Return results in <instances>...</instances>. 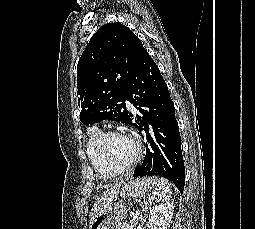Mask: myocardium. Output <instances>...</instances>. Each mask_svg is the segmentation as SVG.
Listing matches in <instances>:
<instances>
[{
  "mask_svg": "<svg viewBox=\"0 0 255 229\" xmlns=\"http://www.w3.org/2000/svg\"><path fill=\"white\" fill-rule=\"evenodd\" d=\"M115 136H127V137L131 138L134 141L135 145H136V154H135L134 158L126 164H122V165L114 164L106 157V155L104 153L103 146H104L105 142L109 138L115 137ZM142 150H143L142 143L138 138H136L134 136H131L127 133L121 132V131H107V132H104L99 136V138H98V140L95 144V151H96V154L98 155V157L110 169H112L114 171H117V172H120V174L124 171L131 170L134 166H136V164L139 162V160L142 156Z\"/></svg>",
  "mask_w": 255,
  "mask_h": 229,
  "instance_id": "obj_1",
  "label": "myocardium"
}]
</instances>
